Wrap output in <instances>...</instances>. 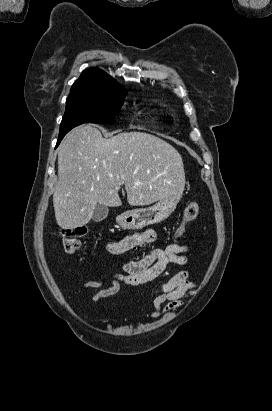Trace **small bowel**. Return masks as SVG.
Segmentation results:
<instances>
[{"instance_id": "1", "label": "small bowel", "mask_w": 272, "mask_h": 411, "mask_svg": "<svg viewBox=\"0 0 272 411\" xmlns=\"http://www.w3.org/2000/svg\"><path fill=\"white\" fill-rule=\"evenodd\" d=\"M157 233L148 229L140 233H133L124 238L107 244V251L114 255L124 254L155 242ZM188 247L182 244H170L164 248H155L145 253L140 259L128 261L123 264L125 274L116 275L111 284L103 287L101 281H86L83 289H97L92 296L95 305L101 309L100 301L117 294L121 283L138 286L160 280L161 283L152 293L153 300L152 318H158L168 311H173L183 305V299L192 295L196 284L189 279L186 270L172 274L173 265H185V253Z\"/></svg>"}]
</instances>
